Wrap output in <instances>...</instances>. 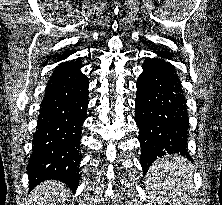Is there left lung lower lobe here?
Here are the masks:
<instances>
[{"label":"left lung lower lobe","mask_w":222,"mask_h":205,"mask_svg":"<svg viewBox=\"0 0 222 205\" xmlns=\"http://www.w3.org/2000/svg\"><path fill=\"white\" fill-rule=\"evenodd\" d=\"M154 53L161 58L144 61L135 99V122L140 130V163L144 173L158 157V152H162L161 156L180 153L189 158V121L182 86L173 65L165 60L170 59L168 54Z\"/></svg>","instance_id":"0a47b994"}]
</instances>
